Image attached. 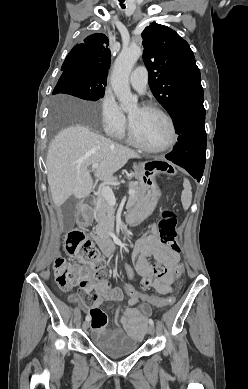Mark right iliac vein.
Segmentation results:
<instances>
[{"label": "right iliac vein", "instance_id": "obj_1", "mask_svg": "<svg viewBox=\"0 0 248 389\" xmlns=\"http://www.w3.org/2000/svg\"><path fill=\"white\" fill-rule=\"evenodd\" d=\"M89 327V321H84L83 324H82V328L84 331H86Z\"/></svg>", "mask_w": 248, "mask_h": 389}]
</instances>
